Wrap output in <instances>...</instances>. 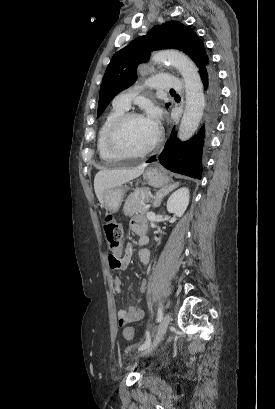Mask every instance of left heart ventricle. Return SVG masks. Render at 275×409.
I'll return each mask as SVG.
<instances>
[{
  "mask_svg": "<svg viewBox=\"0 0 275 409\" xmlns=\"http://www.w3.org/2000/svg\"><path fill=\"white\" fill-rule=\"evenodd\" d=\"M155 133L156 129L146 119L132 120L121 130L117 145L124 150H139L150 143Z\"/></svg>",
  "mask_w": 275,
  "mask_h": 409,
  "instance_id": "obj_1",
  "label": "left heart ventricle"
}]
</instances>
